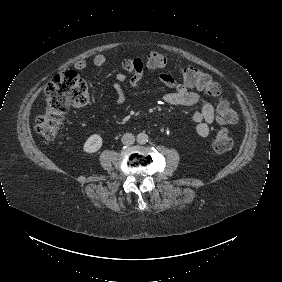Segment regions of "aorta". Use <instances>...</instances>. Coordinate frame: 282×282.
I'll use <instances>...</instances> for the list:
<instances>
[{"instance_id":"aorta-1","label":"aorta","mask_w":282,"mask_h":282,"mask_svg":"<svg viewBox=\"0 0 282 282\" xmlns=\"http://www.w3.org/2000/svg\"><path fill=\"white\" fill-rule=\"evenodd\" d=\"M148 140H149V136L145 132H141L136 136V141L140 145L146 144Z\"/></svg>"}]
</instances>
